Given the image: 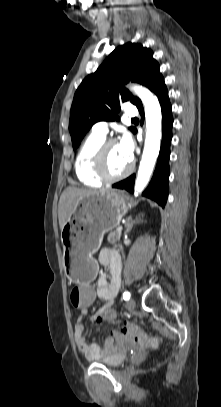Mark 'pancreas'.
Returning <instances> with one entry per match:
<instances>
[{
    "mask_svg": "<svg viewBox=\"0 0 221 407\" xmlns=\"http://www.w3.org/2000/svg\"><path fill=\"white\" fill-rule=\"evenodd\" d=\"M120 238H121V232L116 230V231L109 233V235L107 237V241L110 244H115L116 242L120 241Z\"/></svg>",
    "mask_w": 221,
    "mask_h": 407,
    "instance_id": "1",
    "label": "pancreas"
}]
</instances>
